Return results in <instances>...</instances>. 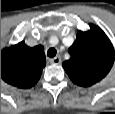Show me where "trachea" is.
I'll list each match as a JSON object with an SVG mask.
<instances>
[{"mask_svg":"<svg viewBox=\"0 0 115 114\" xmlns=\"http://www.w3.org/2000/svg\"><path fill=\"white\" fill-rule=\"evenodd\" d=\"M56 49L55 48H50L48 51H47V56L50 57V58H53L56 56Z\"/></svg>","mask_w":115,"mask_h":114,"instance_id":"obj_1","label":"trachea"}]
</instances>
